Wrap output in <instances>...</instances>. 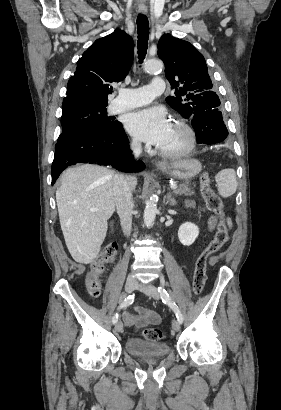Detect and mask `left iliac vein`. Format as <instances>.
Returning <instances> with one entry per match:
<instances>
[{
	"label": "left iliac vein",
	"instance_id": "4c4485c4",
	"mask_svg": "<svg viewBox=\"0 0 281 410\" xmlns=\"http://www.w3.org/2000/svg\"><path fill=\"white\" fill-rule=\"evenodd\" d=\"M137 289L146 293L147 295H149L150 297L154 298V299H159L160 298V294L157 290V288L152 285V284H141L138 283L137 284ZM172 328L174 331L178 332L180 330V322L178 319H174L172 322Z\"/></svg>",
	"mask_w": 281,
	"mask_h": 410
}]
</instances>
